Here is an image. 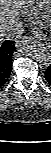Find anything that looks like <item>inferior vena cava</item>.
<instances>
[{
	"label": "inferior vena cava",
	"mask_w": 51,
	"mask_h": 153,
	"mask_svg": "<svg viewBox=\"0 0 51 153\" xmlns=\"http://www.w3.org/2000/svg\"><path fill=\"white\" fill-rule=\"evenodd\" d=\"M24 32L21 23H15L14 25L1 30L0 32V42L5 41V39L12 40L19 38Z\"/></svg>",
	"instance_id": "inferior-vena-cava-1"
}]
</instances>
